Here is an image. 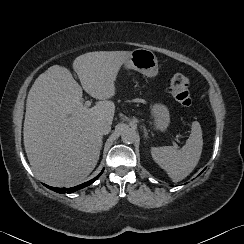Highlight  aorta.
Listing matches in <instances>:
<instances>
[{"label": "aorta", "mask_w": 244, "mask_h": 244, "mask_svg": "<svg viewBox=\"0 0 244 244\" xmlns=\"http://www.w3.org/2000/svg\"><path fill=\"white\" fill-rule=\"evenodd\" d=\"M121 139L124 143H133L136 139V131L131 127L124 128L121 132Z\"/></svg>", "instance_id": "aorta-1"}]
</instances>
